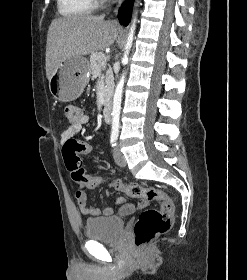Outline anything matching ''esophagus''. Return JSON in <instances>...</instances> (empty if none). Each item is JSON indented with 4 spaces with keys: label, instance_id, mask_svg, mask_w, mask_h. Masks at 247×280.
I'll return each mask as SVG.
<instances>
[{
    "label": "esophagus",
    "instance_id": "1",
    "mask_svg": "<svg viewBox=\"0 0 247 280\" xmlns=\"http://www.w3.org/2000/svg\"><path fill=\"white\" fill-rule=\"evenodd\" d=\"M125 0H119L118 4L115 7L114 13L117 16L118 10L121 7V5L124 3Z\"/></svg>",
    "mask_w": 247,
    "mask_h": 280
}]
</instances>
